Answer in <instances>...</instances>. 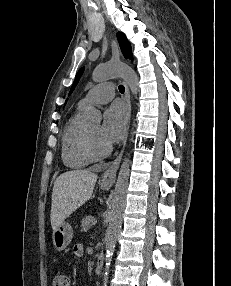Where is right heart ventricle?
Returning a JSON list of instances; mask_svg holds the SVG:
<instances>
[{
    "mask_svg": "<svg viewBox=\"0 0 231 286\" xmlns=\"http://www.w3.org/2000/svg\"><path fill=\"white\" fill-rule=\"evenodd\" d=\"M82 108L66 123L61 137V159L70 169H81L92 161L84 154L82 149V134L84 125L81 120Z\"/></svg>",
    "mask_w": 231,
    "mask_h": 286,
    "instance_id": "right-heart-ventricle-1",
    "label": "right heart ventricle"
}]
</instances>
